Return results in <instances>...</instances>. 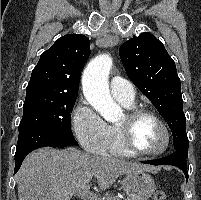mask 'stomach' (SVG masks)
I'll use <instances>...</instances> for the list:
<instances>
[{
    "mask_svg": "<svg viewBox=\"0 0 201 200\" xmlns=\"http://www.w3.org/2000/svg\"><path fill=\"white\" fill-rule=\"evenodd\" d=\"M122 188L129 200H147L155 191V182L144 171H133L125 175Z\"/></svg>",
    "mask_w": 201,
    "mask_h": 200,
    "instance_id": "stomach-1",
    "label": "stomach"
}]
</instances>
